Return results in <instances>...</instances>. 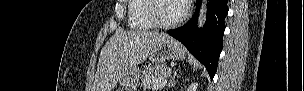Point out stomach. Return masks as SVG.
Instances as JSON below:
<instances>
[{
  "label": "stomach",
  "mask_w": 304,
  "mask_h": 91,
  "mask_svg": "<svg viewBox=\"0 0 304 91\" xmlns=\"http://www.w3.org/2000/svg\"><path fill=\"white\" fill-rule=\"evenodd\" d=\"M184 49L181 44L173 38H166L158 44L150 55V60L156 63L165 60H180L184 57ZM140 70L135 66L124 72L119 79L122 91H136L139 86Z\"/></svg>",
  "instance_id": "obj_1"
}]
</instances>
